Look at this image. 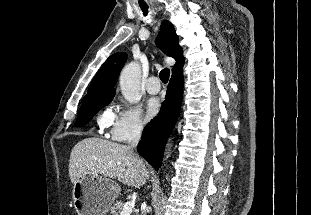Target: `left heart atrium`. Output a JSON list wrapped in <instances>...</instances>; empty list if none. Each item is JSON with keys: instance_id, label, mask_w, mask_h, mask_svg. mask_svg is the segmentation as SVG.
Masks as SVG:
<instances>
[{"instance_id": "left-heart-atrium-1", "label": "left heart atrium", "mask_w": 311, "mask_h": 215, "mask_svg": "<svg viewBox=\"0 0 311 215\" xmlns=\"http://www.w3.org/2000/svg\"><path fill=\"white\" fill-rule=\"evenodd\" d=\"M160 101L157 98H151L146 102L145 119L150 120L154 118L160 111Z\"/></svg>"}]
</instances>
